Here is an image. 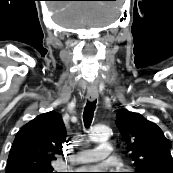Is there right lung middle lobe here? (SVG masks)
Instances as JSON below:
<instances>
[{
	"instance_id": "obj_1",
	"label": "right lung middle lobe",
	"mask_w": 173,
	"mask_h": 173,
	"mask_svg": "<svg viewBox=\"0 0 173 173\" xmlns=\"http://www.w3.org/2000/svg\"><path fill=\"white\" fill-rule=\"evenodd\" d=\"M32 173H53V168L32 171Z\"/></svg>"
}]
</instances>
